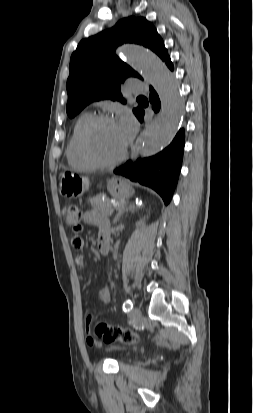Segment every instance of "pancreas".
I'll return each mask as SVG.
<instances>
[{
    "label": "pancreas",
    "instance_id": "1",
    "mask_svg": "<svg viewBox=\"0 0 253 413\" xmlns=\"http://www.w3.org/2000/svg\"><path fill=\"white\" fill-rule=\"evenodd\" d=\"M91 206L106 216H111L113 213V207L111 206V200L109 198H102V194H99L93 198H90Z\"/></svg>",
    "mask_w": 253,
    "mask_h": 413
}]
</instances>
